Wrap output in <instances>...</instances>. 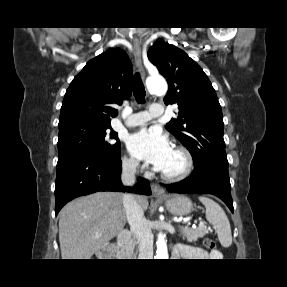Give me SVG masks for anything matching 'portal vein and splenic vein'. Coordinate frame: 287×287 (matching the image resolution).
<instances>
[{
    "label": "portal vein and splenic vein",
    "instance_id": "18ae733b",
    "mask_svg": "<svg viewBox=\"0 0 287 287\" xmlns=\"http://www.w3.org/2000/svg\"><path fill=\"white\" fill-rule=\"evenodd\" d=\"M176 222H180L181 221V219H174ZM183 222H187L188 224H190V222H189V220L188 219H184L183 220ZM200 227H202V226H204V224L203 223H200V225H199Z\"/></svg>",
    "mask_w": 287,
    "mask_h": 287
}]
</instances>
